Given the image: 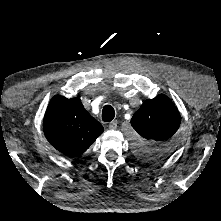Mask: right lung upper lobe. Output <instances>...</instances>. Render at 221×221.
Here are the masks:
<instances>
[{"instance_id":"cb5924a9","label":"right lung upper lobe","mask_w":221,"mask_h":221,"mask_svg":"<svg viewBox=\"0 0 221 221\" xmlns=\"http://www.w3.org/2000/svg\"><path fill=\"white\" fill-rule=\"evenodd\" d=\"M43 124L49 143L70 157L84 153L103 133V126L84 109L79 98L60 95L51 99Z\"/></svg>"}]
</instances>
